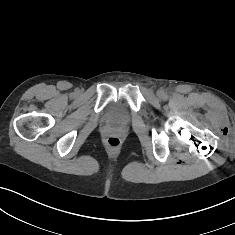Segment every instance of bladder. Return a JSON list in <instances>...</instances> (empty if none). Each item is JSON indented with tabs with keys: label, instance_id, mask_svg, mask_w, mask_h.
Wrapping results in <instances>:
<instances>
[{
	"label": "bladder",
	"instance_id": "1",
	"mask_svg": "<svg viewBox=\"0 0 235 235\" xmlns=\"http://www.w3.org/2000/svg\"><path fill=\"white\" fill-rule=\"evenodd\" d=\"M128 108L123 100L112 101L105 110V118L111 123H120L127 119Z\"/></svg>",
	"mask_w": 235,
	"mask_h": 235
}]
</instances>
